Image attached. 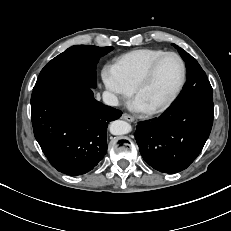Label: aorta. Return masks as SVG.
<instances>
[{
	"label": "aorta",
	"instance_id": "762f6f07",
	"mask_svg": "<svg viewBox=\"0 0 231 231\" xmlns=\"http://www.w3.org/2000/svg\"><path fill=\"white\" fill-rule=\"evenodd\" d=\"M110 133L113 135H123L131 132V125L123 120H115L109 126Z\"/></svg>",
	"mask_w": 231,
	"mask_h": 231
}]
</instances>
